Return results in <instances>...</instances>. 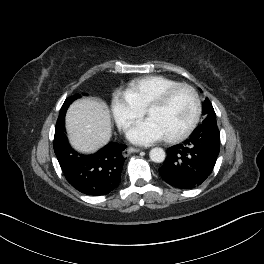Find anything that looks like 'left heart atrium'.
<instances>
[{
  "mask_svg": "<svg viewBox=\"0 0 264 264\" xmlns=\"http://www.w3.org/2000/svg\"><path fill=\"white\" fill-rule=\"evenodd\" d=\"M127 135L130 141L141 145L151 144L164 138L161 129L150 118L135 123Z\"/></svg>",
  "mask_w": 264,
  "mask_h": 264,
  "instance_id": "1",
  "label": "left heart atrium"
}]
</instances>
